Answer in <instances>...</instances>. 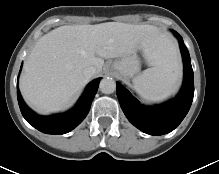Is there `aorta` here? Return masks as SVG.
<instances>
[{
  "label": "aorta",
  "mask_w": 219,
  "mask_h": 174,
  "mask_svg": "<svg viewBox=\"0 0 219 174\" xmlns=\"http://www.w3.org/2000/svg\"><path fill=\"white\" fill-rule=\"evenodd\" d=\"M100 91L104 94H111L116 90V82L112 78H104L100 81Z\"/></svg>",
  "instance_id": "1"
}]
</instances>
